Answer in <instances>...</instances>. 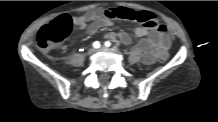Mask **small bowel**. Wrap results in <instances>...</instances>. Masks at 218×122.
Returning a JSON list of instances; mask_svg holds the SVG:
<instances>
[{"mask_svg": "<svg viewBox=\"0 0 218 122\" xmlns=\"http://www.w3.org/2000/svg\"><path fill=\"white\" fill-rule=\"evenodd\" d=\"M107 10L95 9L88 11L84 14L74 16L72 23L78 30L86 29L90 35L95 34L99 29L105 26L112 25V18L106 14ZM134 33L137 37L141 38L135 45V49L142 53L143 60L146 64H153L156 62L158 54H164L168 51L171 45V37L165 28H147L145 26H137L134 28ZM107 39L113 41H120L125 45L133 43L132 37L124 31L118 33H108ZM66 49L65 46L62 47Z\"/></svg>", "mask_w": 218, "mask_h": 122, "instance_id": "c3829d8e", "label": "small bowel"}]
</instances>
